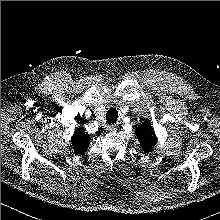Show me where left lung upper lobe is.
I'll return each mask as SVG.
<instances>
[{
    "label": "left lung upper lobe",
    "instance_id": "obj_1",
    "mask_svg": "<svg viewBox=\"0 0 220 220\" xmlns=\"http://www.w3.org/2000/svg\"><path fill=\"white\" fill-rule=\"evenodd\" d=\"M135 133L143 150L147 153L150 152L157 141L151 124L147 121L144 122L136 128Z\"/></svg>",
    "mask_w": 220,
    "mask_h": 220
}]
</instances>
